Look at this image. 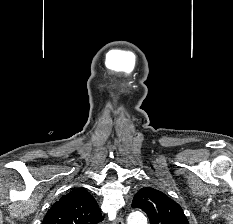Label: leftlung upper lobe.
<instances>
[{
	"label": "left lung upper lobe",
	"instance_id": "obj_1",
	"mask_svg": "<svg viewBox=\"0 0 233 224\" xmlns=\"http://www.w3.org/2000/svg\"><path fill=\"white\" fill-rule=\"evenodd\" d=\"M132 207L143 210L151 224H189L178 203L150 187L141 188L135 194Z\"/></svg>",
	"mask_w": 233,
	"mask_h": 224
}]
</instances>
